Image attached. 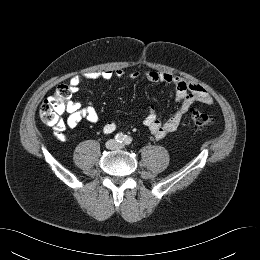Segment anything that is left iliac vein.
I'll return each mask as SVG.
<instances>
[{
  "label": "left iliac vein",
  "mask_w": 260,
  "mask_h": 260,
  "mask_svg": "<svg viewBox=\"0 0 260 260\" xmlns=\"http://www.w3.org/2000/svg\"><path fill=\"white\" fill-rule=\"evenodd\" d=\"M118 148H123V145H121V144H120V145H118Z\"/></svg>",
  "instance_id": "obj_1"
}]
</instances>
